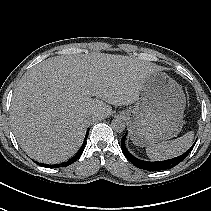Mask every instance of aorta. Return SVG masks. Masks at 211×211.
Instances as JSON below:
<instances>
[{"label":"aorta","mask_w":211,"mask_h":211,"mask_svg":"<svg viewBox=\"0 0 211 211\" xmlns=\"http://www.w3.org/2000/svg\"><path fill=\"white\" fill-rule=\"evenodd\" d=\"M111 127L116 132H122L125 130V122L120 118H116L112 121Z\"/></svg>","instance_id":"762f6f07"}]
</instances>
